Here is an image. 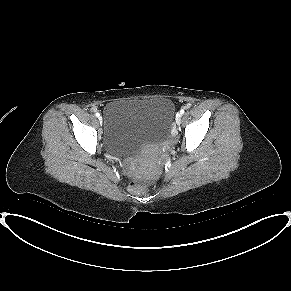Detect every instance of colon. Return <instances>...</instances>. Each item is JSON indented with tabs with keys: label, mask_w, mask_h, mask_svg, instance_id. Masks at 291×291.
Instances as JSON below:
<instances>
[{
	"label": "colon",
	"mask_w": 291,
	"mask_h": 291,
	"mask_svg": "<svg viewBox=\"0 0 291 291\" xmlns=\"http://www.w3.org/2000/svg\"><path fill=\"white\" fill-rule=\"evenodd\" d=\"M130 185L134 191L147 190L149 187L147 182L138 177H132Z\"/></svg>",
	"instance_id": "obj_1"
}]
</instances>
